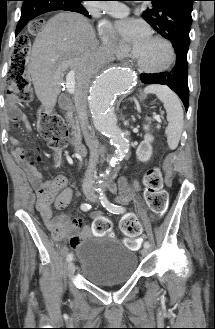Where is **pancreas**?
Listing matches in <instances>:
<instances>
[{
  "label": "pancreas",
  "instance_id": "obj_1",
  "mask_svg": "<svg viewBox=\"0 0 215 329\" xmlns=\"http://www.w3.org/2000/svg\"><path fill=\"white\" fill-rule=\"evenodd\" d=\"M73 124H74V127H75V128H78L79 122H78V120L76 119V117L73 119Z\"/></svg>",
  "mask_w": 215,
  "mask_h": 329
}]
</instances>
